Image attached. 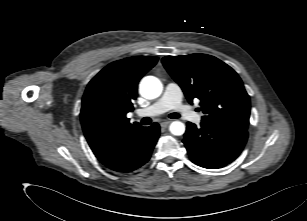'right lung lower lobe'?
Masks as SVG:
<instances>
[{
    "instance_id": "1",
    "label": "right lung lower lobe",
    "mask_w": 307,
    "mask_h": 221,
    "mask_svg": "<svg viewBox=\"0 0 307 221\" xmlns=\"http://www.w3.org/2000/svg\"><path fill=\"white\" fill-rule=\"evenodd\" d=\"M159 134L160 127L157 123L147 128L140 127L130 137L98 159L113 171L132 172L149 160Z\"/></svg>"
}]
</instances>
